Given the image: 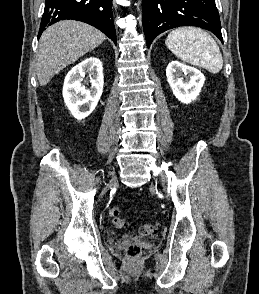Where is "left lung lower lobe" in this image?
Returning a JSON list of instances; mask_svg holds the SVG:
<instances>
[{"label": "left lung lower lobe", "mask_w": 259, "mask_h": 294, "mask_svg": "<svg viewBox=\"0 0 259 294\" xmlns=\"http://www.w3.org/2000/svg\"><path fill=\"white\" fill-rule=\"evenodd\" d=\"M143 28L147 46L160 33L179 26H197L223 42L215 0H143Z\"/></svg>", "instance_id": "0a47b994"}]
</instances>
